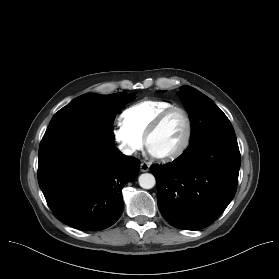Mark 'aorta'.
Segmentation results:
<instances>
[{"mask_svg":"<svg viewBox=\"0 0 279 279\" xmlns=\"http://www.w3.org/2000/svg\"><path fill=\"white\" fill-rule=\"evenodd\" d=\"M138 182L143 189H151L155 186L156 179L153 174L144 173L139 176Z\"/></svg>","mask_w":279,"mask_h":279,"instance_id":"obj_1","label":"aorta"}]
</instances>
